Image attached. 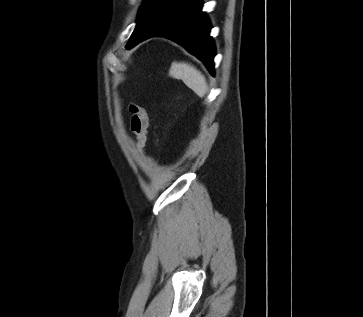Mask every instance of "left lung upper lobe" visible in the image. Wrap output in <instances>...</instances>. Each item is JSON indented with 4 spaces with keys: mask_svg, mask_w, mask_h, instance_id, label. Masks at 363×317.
I'll return each instance as SVG.
<instances>
[{
    "mask_svg": "<svg viewBox=\"0 0 363 317\" xmlns=\"http://www.w3.org/2000/svg\"><path fill=\"white\" fill-rule=\"evenodd\" d=\"M158 0H146L139 11L137 25L126 47H131L144 34Z\"/></svg>",
    "mask_w": 363,
    "mask_h": 317,
    "instance_id": "obj_1",
    "label": "left lung upper lobe"
}]
</instances>
